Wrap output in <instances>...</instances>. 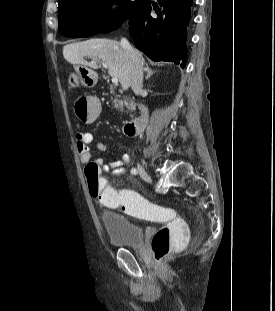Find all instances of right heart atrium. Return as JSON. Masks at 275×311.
<instances>
[{
  "instance_id": "1",
  "label": "right heart atrium",
  "mask_w": 275,
  "mask_h": 311,
  "mask_svg": "<svg viewBox=\"0 0 275 311\" xmlns=\"http://www.w3.org/2000/svg\"><path fill=\"white\" fill-rule=\"evenodd\" d=\"M121 8V3L119 0H112L106 6V13L113 15L117 13Z\"/></svg>"
}]
</instances>
